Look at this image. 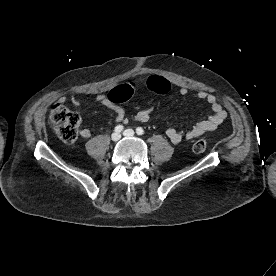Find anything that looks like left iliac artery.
<instances>
[{
  "instance_id": "1",
  "label": "left iliac artery",
  "mask_w": 276,
  "mask_h": 276,
  "mask_svg": "<svg viewBox=\"0 0 276 276\" xmlns=\"http://www.w3.org/2000/svg\"><path fill=\"white\" fill-rule=\"evenodd\" d=\"M136 133H137L138 135H143V134H144V130H143V128H141V127H137V129H136Z\"/></svg>"
}]
</instances>
